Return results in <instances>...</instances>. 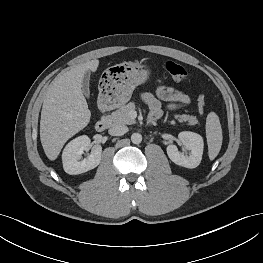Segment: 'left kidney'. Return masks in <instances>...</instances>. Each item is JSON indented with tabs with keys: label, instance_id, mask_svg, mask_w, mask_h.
Masks as SVG:
<instances>
[{
	"label": "left kidney",
	"instance_id": "5707ae66",
	"mask_svg": "<svg viewBox=\"0 0 263 263\" xmlns=\"http://www.w3.org/2000/svg\"><path fill=\"white\" fill-rule=\"evenodd\" d=\"M178 138L179 141L190 150L189 156L179 152L175 145H168L166 149L168 157L179 166L190 169L196 168L202 159L204 148L203 138L201 135L189 131L180 132Z\"/></svg>",
	"mask_w": 263,
	"mask_h": 263
}]
</instances>
